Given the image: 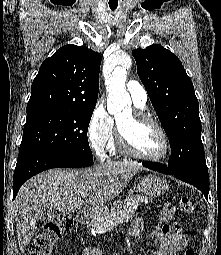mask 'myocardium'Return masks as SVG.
I'll list each match as a JSON object with an SVG mask.
<instances>
[{
	"mask_svg": "<svg viewBox=\"0 0 221 255\" xmlns=\"http://www.w3.org/2000/svg\"><path fill=\"white\" fill-rule=\"evenodd\" d=\"M131 114H132V120L134 123L151 124L157 128V130L160 132L161 137L163 139V144H164L163 152L156 157H148L139 153L135 149L129 135L126 132H124L118 124L116 128V138H117V142L120 149L127 155H130L134 158H137L139 160L146 161V162L157 163V162H161L165 160L168 157L170 152V141L164 127L155 118H153L151 115L145 112L133 110Z\"/></svg>",
	"mask_w": 221,
	"mask_h": 255,
	"instance_id": "myocardium-1",
	"label": "myocardium"
}]
</instances>
